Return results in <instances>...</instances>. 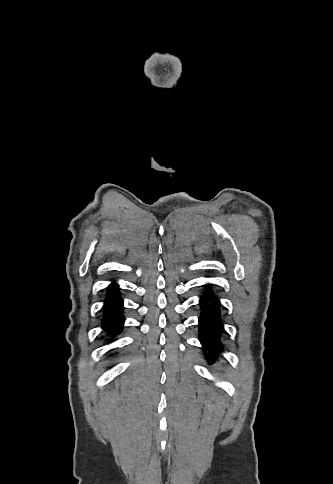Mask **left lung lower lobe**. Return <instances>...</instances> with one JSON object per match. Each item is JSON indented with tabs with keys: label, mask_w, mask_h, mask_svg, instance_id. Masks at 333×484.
Instances as JSON below:
<instances>
[{
	"label": "left lung lower lobe",
	"mask_w": 333,
	"mask_h": 484,
	"mask_svg": "<svg viewBox=\"0 0 333 484\" xmlns=\"http://www.w3.org/2000/svg\"><path fill=\"white\" fill-rule=\"evenodd\" d=\"M208 290L200 300L202 313L199 317V340L208 350L206 358L216 360L218 352L223 351L220 342L222 332L220 302L210 290L211 285H207Z\"/></svg>",
	"instance_id": "obj_1"
}]
</instances>
